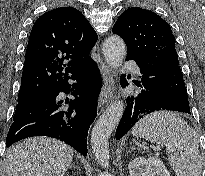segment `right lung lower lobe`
<instances>
[{
	"label": "right lung lower lobe",
	"instance_id": "right-lung-lower-lobe-1",
	"mask_svg": "<svg viewBox=\"0 0 205 176\" xmlns=\"http://www.w3.org/2000/svg\"><path fill=\"white\" fill-rule=\"evenodd\" d=\"M68 79L77 81L71 85ZM101 88V76L95 61L66 77L46 91L39 99L13 120L9 129L6 146L32 136H49L60 139L87 155V134L97 114V98ZM74 100L59 99L60 92L69 93Z\"/></svg>",
	"mask_w": 205,
	"mask_h": 176
}]
</instances>
